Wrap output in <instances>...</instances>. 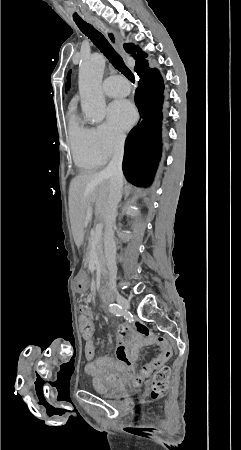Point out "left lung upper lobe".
Returning <instances> with one entry per match:
<instances>
[{
    "mask_svg": "<svg viewBox=\"0 0 241 450\" xmlns=\"http://www.w3.org/2000/svg\"><path fill=\"white\" fill-rule=\"evenodd\" d=\"M70 73H71V70L69 71V73H68V76H67V83H66V90H69V87H70Z\"/></svg>",
    "mask_w": 241,
    "mask_h": 450,
    "instance_id": "5c2ea615",
    "label": "left lung upper lobe"
}]
</instances>
